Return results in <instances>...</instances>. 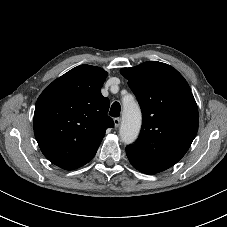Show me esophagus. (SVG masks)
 Listing matches in <instances>:
<instances>
[{
    "label": "esophagus",
    "mask_w": 227,
    "mask_h": 227,
    "mask_svg": "<svg viewBox=\"0 0 227 227\" xmlns=\"http://www.w3.org/2000/svg\"><path fill=\"white\" fill-rule=\"evenodd\" d=\"M120 123H121V118H114V125L116 128L119 127Z\"/></svg>",
    "instance_id": "34e87169"
}]
</instances>
